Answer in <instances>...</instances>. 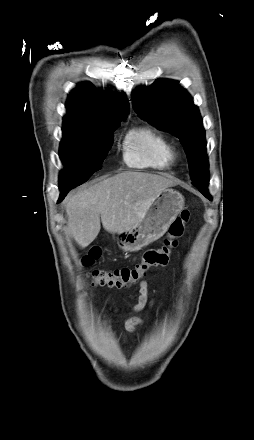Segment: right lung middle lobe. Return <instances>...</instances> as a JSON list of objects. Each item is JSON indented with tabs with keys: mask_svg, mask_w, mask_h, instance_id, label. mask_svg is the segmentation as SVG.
Masks as SVG:
<instances>
[{
	"mask_svg": "<svg viewBox=\"0 0 254 440\" xmlns=\"http://www.w3.org/2000/svg\"><path fill=\"white\" fill-rule=\"evenodd\" d=\"M121 122L102 127L63 123L59 156L64 164L60 189H72L101 168L113 143V132Z\"/></svg>",
	"mask_w": 254,
	"mask_h": 440,
	"instance_id": "obj_1",
	"label": "right lung middle lobe"
}]
</instances>
